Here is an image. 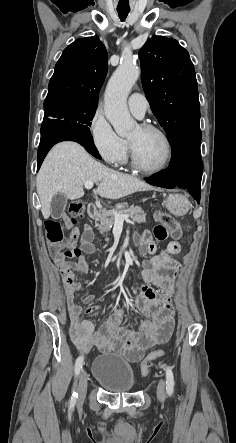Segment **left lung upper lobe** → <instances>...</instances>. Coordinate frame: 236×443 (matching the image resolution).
I'll list each match as a JSON object with an SVG mask.
<instances>
[{
    "instance_id": "obj_1",
    "label": "left lung upper lobe",
    "mask_w": 236,
    "mask_h": 443,
    "mask_svg": "<svg viewBox=\"0 0 236 443\" xmlns=\"http://www.w3.org/2000/svg\"><path fill=\"white\" fill-rule=\"evenodd\" d=\"M141 81L168 139L200 130V103L193 63L177 40L153 36L139 51Z\"/></svg>"
}]
</instances>
